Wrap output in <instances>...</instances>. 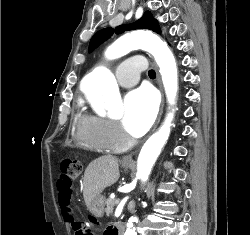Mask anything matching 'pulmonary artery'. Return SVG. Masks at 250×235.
I'll return each instance as SVG.
<instances>
[{"label": "pulmonary artery", "mask_w": 250, "mask_h": 235, "mask_svg": "<svg viewBox=\"0 0 250 235\" xmlns=\"http://www.w3.org/2000/svg\"><path fill=\"white\" fill-rule=\"evenodd\" d=\"M147 64L138 55L131 56L118 67V83L120 86L128 88L135 85L144 71Z\"/></svg>", "instance_id": "obj_1"}]
</instances>
